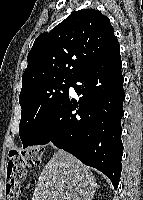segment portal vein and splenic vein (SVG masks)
Listing matches in <instances>:
<instances>
[{"mask_svg": "<svg viewBox=\"0 0 143 200\" xmlns=\"http://www.w3.org/2000/svg\"><path fill=\"white\" fill-rule=\"evenodd\" d=\"M53 195H54V196H57L58 194L54 192Z\"/></svg>", "mask_w": 143, "mask_h": 200, "instance_id": "1", "label": "portal vein and splenic vein"}]
</instances>
